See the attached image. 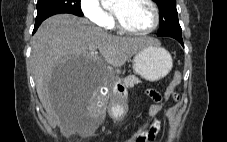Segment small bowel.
<instances>
[{"label":"small bowel","mask_w":227,"mask_h":142,"mask_svg":"<svg viewBox=\"0 0 227 142\" xmlns=\"http://www.w3.org/2000/svg\"><path fill=\"white\" fill-rule=\"evenodd\" d=\"M146 93L155 103L162 101V96L158 91L149 89ZM173 97L176 98L177 95H173ZM161 127V122L159 120H155L150 128L139 138L138 142H156V138L161 130Z\"/></svg>","instance_id":"obj_1"}]
</instances>
